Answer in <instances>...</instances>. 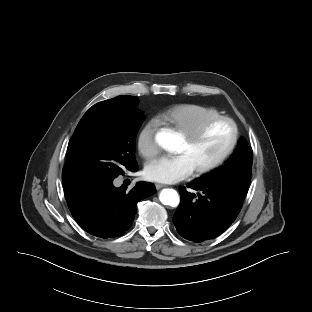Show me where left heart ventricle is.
<instances>
[{
  "mask_svg": "<svg viewBox=\"0 0 312 312\" xmlns=\"http://www.w3.org/2000/svg\"><path fill=\"white\" fill-rule=\"evenodd\" d=\"M232 135L233 129L229 123L218 122L193 144L183 138L177 153L187 154L194 168H197L219 157L231 142Z\"/></svg>",
  "mask_w": 312,
  "mask_h": 312,
  "instance_id": "1",
  "label": "left heart ventricle"
}]
</instances>
